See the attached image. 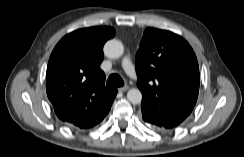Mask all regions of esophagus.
Returning <instances> with one entry per match:
<instances>
[{
    "instance_id": "1",
    "label": "esophagus",
    "mask_w": 244,
    "mask_h": 157,
    "mask_svg": "<svg viewBox=\"0 0 244 157\" xmlns=\"http://www.w3.org/2000/svg\"><path fill=\"white\" fill-rule=\"evenodd\" d=\"M128 89H129L128 86H123V87L118 88V91H120V92H125V91H127Z\"/></svg>"
}]
</instances>
